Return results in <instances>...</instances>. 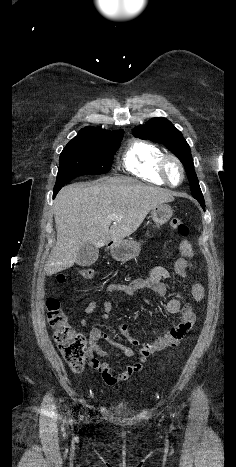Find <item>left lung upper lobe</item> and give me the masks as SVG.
I'll use <instances>...</instances> for the list:
<instances>
[{
    "label": "left lung upper lobe",
    "mask_w": 236,
    "mask_h": 467,
    "mask_svg": "<svg viewBox=\"0 0 236 467\" xmlns=\"http://www.w3.org/2000/svg\"><path fill=\"white\" fill-rule=\"evenodd\" d=\"M135 137L150 139L165 145L183 163L189 179L191 193L194 198H203L199 182L194 170L190 147L181 132L163 117L152 118L142 126L132 130Z\"/></svg>",
    "instance_id": "1"
}]
</instances>
